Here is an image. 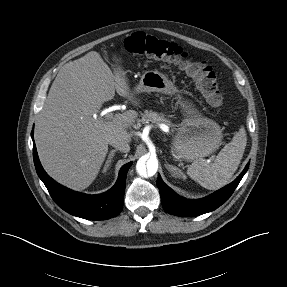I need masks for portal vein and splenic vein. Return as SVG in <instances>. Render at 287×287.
<instances>
[{
	"label": "portal vein and splenic vein",
	"instance_id": "1",
	"mask_svg": "<svg viewBox=\"0 0 287 287\" xmlns=\"http://www.w3.org/2000/svg\"><path fill=\"white\" fill-rule=\"evenodd\" d=\"M112 111H113L112 108L105 109L101 112V116H105L106 120H111V119H113Z\"/></svg>",
	"mask_w": 287,
	"mask_h": 287
}]
</instances>
